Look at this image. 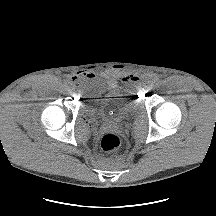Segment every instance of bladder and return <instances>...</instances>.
<instances>
[{
	"label": "bladder",
	"instance_id": "1",
	"mask_svg": "<svg viewBox=\"0 0 216 216\" xmlns=\"http://www.w3.org/2000/svg\"><path fill=\"white\" fill-rule=\"evenodd\" d=\"M88 109L97 113L99 120L105 124L116 125L132 115L137 108V101L124 95L114 87L97 86L84 89Z\"/></svg>",
	"mask_w": 216,
	"mask_h": 216
}]
</instances>
